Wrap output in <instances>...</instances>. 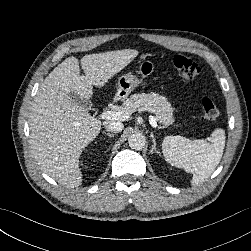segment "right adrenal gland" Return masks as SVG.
<instances>
[{
  "label": "right adrenal gland",
  "instance_id": "obj_1",
  "mask_svg": "<svg viewBox=\"0 0 251 251\" xmlns=\"http://www.w3.org/2000/svg\"><path fill=\"white\" fill-rule=\"evenodd\" d=\"M103 134H106L109 137H114V135H115V134H110L109 132H105V131L103 132Z\"/></svg>",
  "mask_w": 251,
  "mask_h": 251
}]
</instances>
